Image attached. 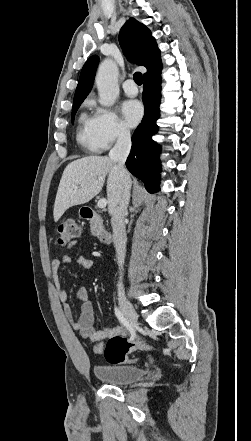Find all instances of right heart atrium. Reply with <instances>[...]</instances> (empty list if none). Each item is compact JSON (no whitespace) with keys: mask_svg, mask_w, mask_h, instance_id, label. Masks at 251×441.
<instances>
[{"mask_svg":"<svg viewBox=\"0 0 251 441\" xmlns=\"http://www.w3.org/2000/svg\"><path fill=\"white\" fill-rule=\"evenodd\" d=\"M93 126L102 149L110 147L116 141L126 139L130 134L118 115L108 108H95Z\"/></svg>","mask_w":251,"mask_h":441,"instance_id":"obj_1","label":"right heart atrium"}]
</instances>
